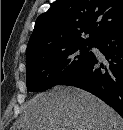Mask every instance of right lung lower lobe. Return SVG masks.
<instances>
[{
  "label": "right lung lower lobe",
  "mask_w": 123,
  "mask_h": 130,
  "mask_svg": "<svg viewBox=\"0 0 123 130\" xmlns=\"http://www.w3.org/2000/svg\"><path fill=\"white\" fill-rule=\"evenodd\" d=\"M93 47L105 61L93 53L60 85L84 89L106 102L123 117V26L103 35Z\"/></svg>",
  "instance_id": "98d812e1"
}]
</instances>
